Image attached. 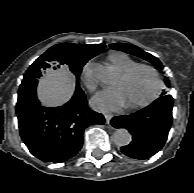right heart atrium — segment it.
<instances>
[{
    "instance_id": "obj_1",
    "label": "right heart atrium",
    "mask_w": 194,
    "mask_h": 193,
    "mask_svg": "<svg viewBox=\"0 0 194 193\" xmlns=\"http://www.w3.org/2000/svg\"><path fill=\"white\" fill-rule=\"evenodd\" d=\"M82 79L84 85L90 90L95 91L97 89V81L94 78L91 71V64L86 63L82 68Z\"/></svg>"
}]
</instances>
